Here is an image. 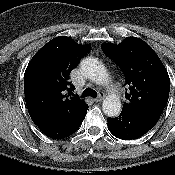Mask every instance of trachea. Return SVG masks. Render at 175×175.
Masks as SVG:
<instances>
[{
	"instance_id": "1",
	"label": "trachea",
	"mask_w": 175,
	"mask_h": 175,
	"mask_svg": "<svg viewBox=\"0 0 175 175\" xmlns=\"http://www.w3.org/2000/svg\"><path fill=\"white\" fill-rule=\"evenodd\" d=\"M89 96L96 98L97 92L91 88H86L82 94V97H89Z\"/></svg>"
}]
</instances>
